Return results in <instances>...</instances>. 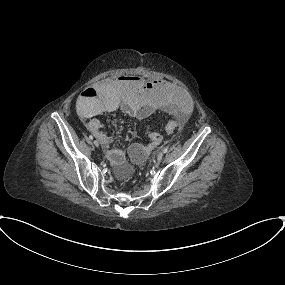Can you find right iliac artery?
<instances>
[{
  "label": "right iliac artery",
  "mask_w": 285,
  "mask_h": 285,
  "mask_svg": "<svg viewBox=\"0 0 285 285\" xmlns=\"http://www.w3.org/2000/svg\"><path fill=\"white\" fill-rule=\"evenodd\" d=\"M89 137H90L91 140L93 139V136H92V135H90Z\"/></svg>",
  "instance_id": "82829eb1"
}]
</instances>
